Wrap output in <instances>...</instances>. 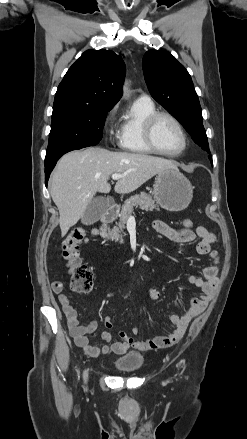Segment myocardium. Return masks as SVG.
<instances>
[{"label":"myocardium","mask_w":247,"mask_h":439,"mask_svg":"<svg viewBox=\"0 0 247 439\" xmlns=\"http://www.w3.org/2000/svg\"><path fill=\"white\" fill-rule=\"evenodd\" d=\"M162 117H166L168 119H170L178 128L181 137H182V146L181 148L176 151V152H164L162 150H160L154 141V136H153V132H154V127L156 122L158 121V119L162 118ZM143 136H144V141L146 143V145L149 147V149L159 155L165 156V157H177L179 155H181L187 148V144H188V138H187V134L186 131L182 125V123L171 113L169 112H164V111H156L155 113H153L152 115H150L145 123H144V129H143Z\"/></svg>","instance_id":"f54148a6"}]
</instances>
